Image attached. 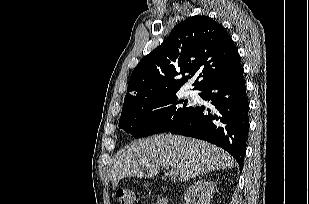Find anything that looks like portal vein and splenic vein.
<instances>
[{"label": "portal vein and splenic vein", "instance_id": "1", "mask_svg": "<svg viewBox=\"0 0 309 204\" xmlns=\"http://www.w3.org/2000/svg\"><path fill=\"white\" fill-rule=\"evenodd\" d=\"M166 168L169 169L168 167ZM167 175H169L171 178L177 177V173L172 169L167 173Z\"/></svg>", "mask_w": 309, "mask_h": 204}]
</instances>
